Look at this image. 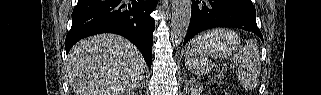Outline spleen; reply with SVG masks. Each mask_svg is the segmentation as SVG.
I'll use <instances>...</instances> for the list:
<instances>
[{
    "label": "spleen",
    "instance_id": "1",
    "mask_svg": "<svg viewBox=\"0 0 321 95\" xmlns=\"http://www.w3.org/2000/svg\"><path fill=\"white\" fill-rule=\"evenodd\" d=\"M229 32L223 30H213L197 36L194 44L201 41L216 42L224 39ZM233 61L238 64L236 72L237 79L245 90H252L258 84L261 72V58L259 48L253 40L246 41V44L233 54ZM186 67L195 74L203 75L208 73L210 61L205 55H187L185 59Z\"/></svg>",
    "mask_w": 321,
    "mask_h": 95
}]
</instances>
